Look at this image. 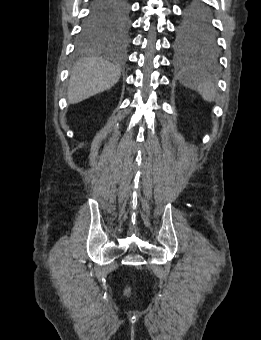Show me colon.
<instances>
[{
	"mask_svg": "<svg viewBox=\"0 0 261 340\" xmlns=\"http://www.w3.org/2000/svg\"><path fill=\"white\" fill-rule=\"evenodd\" d=\"M125 294H126L127 297H130V296H131V288H130V287H127V288H126Z\"/></svg>",
	"mask_w": 261,
	"mask_h": 340,
	"instance_id": "colon-1",
	"label": "colon"
}]
</instances>
